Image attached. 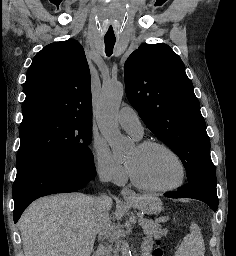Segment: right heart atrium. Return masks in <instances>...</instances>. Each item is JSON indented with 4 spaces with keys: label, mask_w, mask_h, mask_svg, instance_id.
Returning a JSON list of instances; mask_svg holds the SVG:
<instances>
[{
    "label": "right heart atrium",
    "mask_w": 236,
    "mask_h": 256,
    "mask_svg": "<svg viewBox=\"0 0 236 256\" xmlns=\"http://www.w3.org/2000/svg\"><path fill=\"white\" fill-rule=\"evenodd\" d=\"M93 152L96 171L103 180L117 186H122L128 181L129 173L126 165L119 162L104 144L95 142Z\"/></svg>",
    "instance_id": "1"
}]
</instances>
